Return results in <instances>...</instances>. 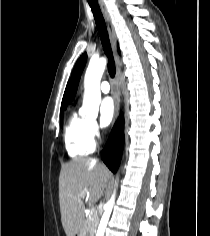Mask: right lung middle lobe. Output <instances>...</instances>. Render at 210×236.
Wrapping results in <instances>:
<instances>
[{"mask_svg":"<svg viewBox=\"0 0 210 236\" xmlns=\"http://www.w3.org/2000/svg\"><path fill=\"white\" fill-rule=\"evenodd\" d=\"M63 118V112L60 113V120Z\"/></svg>","mask_w":210,"mask_h":236,"instance_id":"right-lung-middle-lobe-1","label":"right lung middle lobe"}]
</instances>
